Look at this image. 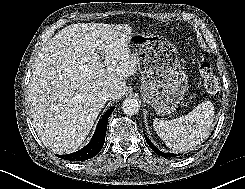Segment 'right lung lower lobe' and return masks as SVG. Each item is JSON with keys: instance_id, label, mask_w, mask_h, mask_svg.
I'll use <instances>...</instances> for the list:
<instances>
[{"instance_id": "right-lung-lower-lobe-1", "label": "right lung lower lobe", "mask_w": 245, "mask_h": 189, "mask_svg": "<svg viewBox=\"0 0 245 189\" xmlns=\"http://www.w3.org/2000/svg\"><path fill=\"white\" fill-rule=\"evenodd\" d=\"M114 108L115 107L110 108L99 120L96 131L88 145H86L81 150L74 152L72 154L57 155V156L59 158H62L64 160H69V161H84L97 155L104 145L108 117L111 115Z\"/></svg>"}]
</instances>
